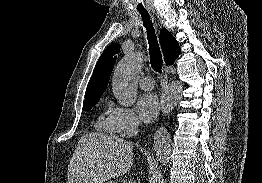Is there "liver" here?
Segmentation results:
<instances>
[{"instance_id": "1", "label": "liver", "mask_w": 262, "mask_h": 183, "mask_svg": "<svg viewBox=\"0 0 262 183\" xmlns=\"http://www.w3.org/2000/svg\"><path fill=\"white\" fill-rule=\"evenodd\" d=\"M133 144L114 135H83L68 166V183H103L128 172Z\"/></svg>"}]
</instances>
